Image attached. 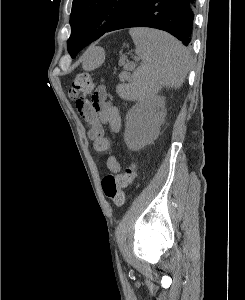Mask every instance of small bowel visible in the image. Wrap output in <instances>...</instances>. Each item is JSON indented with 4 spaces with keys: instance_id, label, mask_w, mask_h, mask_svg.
Masks as SVG:
<instances>
[{
    "instance_id": "1",
    "label": "small bowel",
    "mask_w": 245,
    "mask_h": 300,
    "mask_svg": "<svg viewBox=\"0 0 245 300\" xmlns=\"http://www.w3.org/2000/svg\"><path fill=\"white\" fill-rule=\"evenodd\" d=\"M76 108L88 128V136L93 142L95 151L107 152L111 143L106 136L105 126L117 133L121 129L122 122L119 110L108 98L106 88L98 87L90 100L86 98L77 100ZM106 166L112 173H118L121 170L120 162L115 154L107 157Z\"/></svg>"
}]
</instances>
